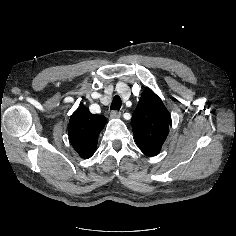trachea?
<instances>
[{
	"label": "trachea",
	"instance_id": "obj_1",
	"mask_svg": "<svg viewBox=\"0 0 236 236\" xmlns=\"http://www.w3.org/2000/svg\"><path fill=\"white\" fill-rule=\"evenodd\" d=\"M120 108H121V98L118 95H116L113 98L110 109L111 110H120Z\"/></svg>",
	"mask_w": 236,
	"mask_h": 236
}]
</instances>
